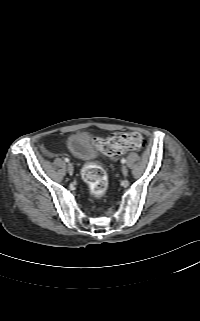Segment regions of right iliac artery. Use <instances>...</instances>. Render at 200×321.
<instances>
[{
    "instance_id": "1",
    "label": "right iliac artery",
    "mask_w": 200,
    "mask_h": 321,
    "mask_svg": "<svg viewBox=\"0 0 200 321\" xmlns=\"http://www.w3.org/2000/svg\"><path fill=\"white\" fill-rule=\"evenodd\" d=\"M65 162H69V159H68V158H65Z\"/></svg>"
}]
</instances>
